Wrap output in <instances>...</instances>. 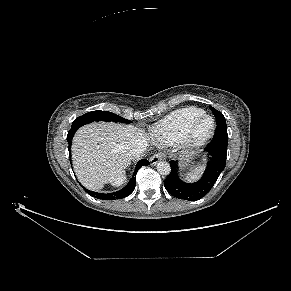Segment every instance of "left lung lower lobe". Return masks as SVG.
<instances>
[{
	"label": "left lung lower lobe",
	"mask_w": 291,
	"mask_h": 291,
	"mask_svg": "<svg viewBox=\"0 0 291 291\" xmlns=\"http://www.w3.org/2000/svg\"><path fill=\"white\" fill-rule=\"evenodd\" d=\"M227 129L218 128L213 140L206 147L209 165L203 177L195 183L183 182L177 173L176 162L170 161L171 172L167 176L164 186L174 197L195 201L204 197L217 181L226 164Z\"/></svg>",
	"instance_id": "1"
}]
</instances>
